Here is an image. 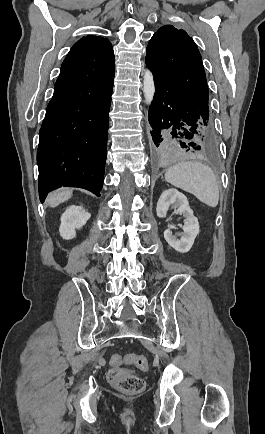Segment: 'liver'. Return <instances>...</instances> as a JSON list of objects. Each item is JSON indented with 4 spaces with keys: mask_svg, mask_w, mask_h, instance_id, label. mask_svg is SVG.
I'll use <instances>...</instances> for the list:
<instances>
[{
    "mask_svg": "<svg viewBox=\"0 0 265 434\" xmlns=\"http://www.w3.org/2000/svg\"><path fill=\"white\" fill-rule=\"evenodd\" d=\"M71 196L72 190H69V188H64V190H60V192H54V194H50L48 202L51 208H56V206H59V204H62V202L69 200Z\"/></svg>",
    "mask_w": 265,
    "mask_h": 434,
    "instance_id": "liver-1",
    "label": "liver"
}]
</instances>
